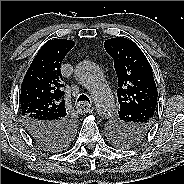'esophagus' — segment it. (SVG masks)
Here are the masks:
<instances>
[{
	"instance_id": "esophagus-1",
	"label": "esophagus",
	"mask_w": 184,
	"mask_h": 184,
	"mask_svg": "<svg viewBox=\"0 0 184 184\" xmlns=\"http://www.w3.org/2000/svg\"><path fill=\"white\" fill-rule=\"evenodd\" d=\"M76 106V108L83 113H88L94 110V108L90 104H87L85 102H79Z\"/></svg>"
}]
</instances>
